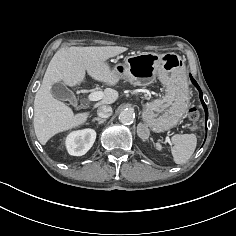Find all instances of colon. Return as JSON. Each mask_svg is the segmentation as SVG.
<instances>
[{"instance_id": "5ec220e1", "label": "colon", "mask_w": 236, "mask_h": 236, "mask_svg": "<svg viewBox=\"0 0 236 236\" xmlns=\"http://www.w3.org/2000/svg\"><path fill=\"white\" fill-rule=\"evenodd\" d=\"M188 119L191 123L192 130L196 131L198 129V120H199V112L196 108H191L188 111Z\"/></svg>"}]
</instances>
